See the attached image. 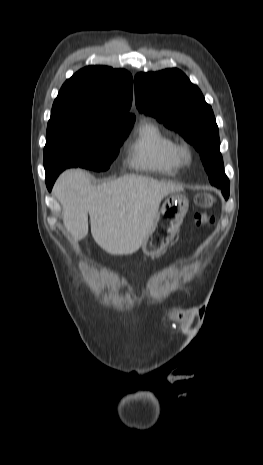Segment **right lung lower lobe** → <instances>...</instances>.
<instances>
[{
  "label": "right lung lower lobe",
  "instance_id": "obj_1",
  "mask_svg": "<svg viewBox=\"0 0 263 465\" xmlns=\"http://www.w3.org/2000/svg\"><path fill=\"white\" fill-rule=\"evenodd\" d=\"M57 176H58V174H56V173H52V174L46 173V184H47V187H48L49 190H51V188L53 186V183H54Z\"/></svg>",
  "mask_w": 263,
  "mask_h": 465
}]
</instances>
